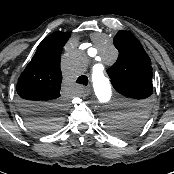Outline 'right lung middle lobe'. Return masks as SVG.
<instances>
[{
	"instance_id": "dd1d6c3e",
	"label": "right lung middle lobe",
	"mask_w": 174,
	"mask_h": 174,
	"mask_svg": "<svg viewBox=\"0 0 174 174\" xmlns=\"http://www.w3.org/2000/svg\"><path fill=\"white\" fill-rule=\"evenodd\" d=\"M64 107L61 104L54 106L48 113L37 115L28 120L32 128L39 132H51L62 124L61 114Z\"/></svg>"
}]
</instances>
